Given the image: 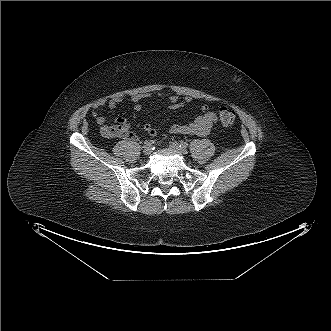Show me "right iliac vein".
Listing matches in <instances>:
<instances>
[{"label":"right iliac vein","mask_w":331,"mask_h":331,"mask_svg":"<svg viewBox=\"0 0 331 331\" xmlns=\"http://www.w3.org/2000/svg\"><path fill=\"white\" fill-rule=\"evenodd\" d=\"M150 153H151V148L150 147H144L143 154L144 155H150Z\"/></svg>","instance_id":"63e3f726"}]
</instances>
